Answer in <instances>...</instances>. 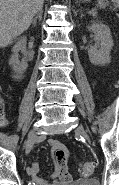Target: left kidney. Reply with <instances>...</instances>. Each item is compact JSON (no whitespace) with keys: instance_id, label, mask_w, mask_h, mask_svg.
I'll use <instances>...</instances> for the list:
<instances>
[{"instance_id":"left-kidney-1","label":"left kidney","mask_w":119,"mask_h":185,"mask_svg":"<svg viewBox=\"0 0 119 185\" xmlns=\"http://www.w3.org/2000/svg\"><path fill=\"white\" fill-rule=\"evenodd\" d=\"M95 36V46L88 50L90 62L94 65L105 66L110 63V51L113 47L111 31L102 23H95L87 27Z\"/></svg>"}]
</instances>
